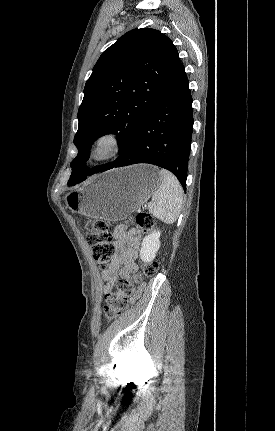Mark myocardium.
<instances>
[{"instance_id": "myocardium-1", "label": "myocardium", "mask_w": 275, "mask_h": 431, "mask_svg": "<svg viewBox=\"0 0 275 431\" xmlns=\"http://www.w3.org/2000/svg\"><path fill=\"white\" fill-rule=\"evenodd\" d=\"M122 151V139L114 131L97 134L88 147V158L95 163H105L116 159Z\"/></svg>"}]
</instances>
